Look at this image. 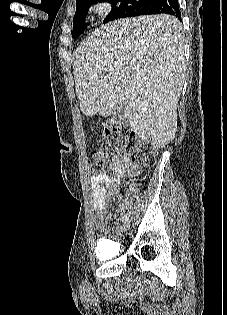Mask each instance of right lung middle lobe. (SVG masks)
I'll use <instances>...</instances> for the list:
<instances>
[{
  "instance_id": "right-lung-middle-lobe-1",
  "label": "right lung middle lobe",
  "mask_w": 227,
  "mask_h": 315,
  "mask_svg": "<svg viewBox=\"0 0 227 315\" xmlns=\"http://www.w3.org/2000/svg\"><path fill=\"white\" fill-rule=\"evenodd\" d=\"M107 1L112 5L111 13L103 23L122 18L127 9L140 8L147 0H76V14L73 20L72 37L79 36L85 28V18L90 6L96 2Z\"/></svg>"
}]
</instances>
